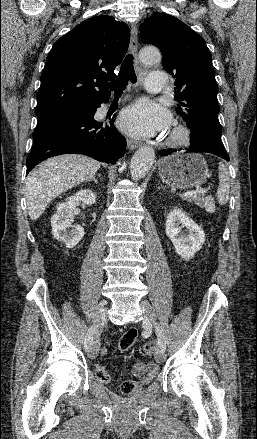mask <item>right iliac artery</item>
<instances>
[{
    "instance_id": "1",
    "label": "right iliac artery",
    "mask_w": 257,
    "mask_h": 439,
    "mask_svg": "<svg viewBox=\"0 0 257 439\" xmlns=\"http://www.w3.org/2000/svg\"><path fill=\"white\" fill-rule=\"evenodd\" d=\"M99 325L94 324L92 326H90V328L88 329L86 335H85V339H84V348L87 352H89L91 350V346H92V341H93V337L96 333V330L98 328Z\"/></svg>"
}]
</instances>
